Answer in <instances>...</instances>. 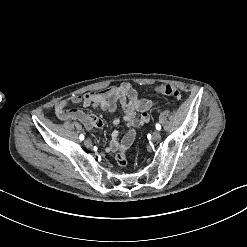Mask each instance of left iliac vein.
Returning a JSON list of instances; mask_svg holds the SVG:
<instances>
[{
  "label": "left iliac vein",
  "instance_id": "1",
  "mask_svg": "<svg viewBox=\"0 0 247 247\" xmlns=\"http://www.w3.org/2000/svg\"><path fill=\"white\" fill-rule=\"evenodd\" d=\"M159 138H160V132H159V130H155L152 134V139H153V141H157V140H159Z\"/></svg>",
  "mask_w": 247,
  "mask_h": 247
}]
</instances>
